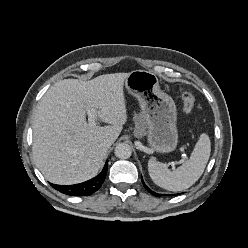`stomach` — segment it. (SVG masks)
Wrapping results in <instances>:
<instances>
[{
    "label": "stomach",
    "mask_w": 248,
    "mask_h": 248,
    "mask_svg": "<svg viewBox=\"0 0 248 248\" xmlns=\"http://www.w3.org/2000/svg\"><path fill=\"white\" fill-rule=\"evenodd\" d=\"M125 87L139 101L149 145L158 153L174 151L178 144L177 109L172 97L160 89L157 76L134 70L125 79Z\"/></svg>",
    "instance_id": "1"
}]
</instances>
